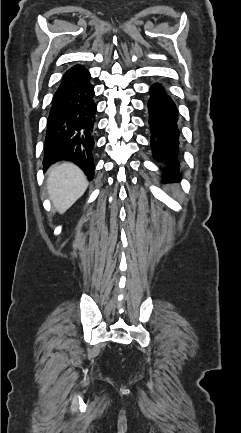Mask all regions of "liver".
I'll list each match as a JSON object with an SVG mask.
<instances>
[{
    "instance_id": "6515ba94",
    "label": "liver",
    "mask_w": 241,
    "mask_h": 433,
    "mask_svg": "<svg viewBox=\"0 0 241 433\" xmlns=\"http://www.w3.org/2000/svg\"><path fill=\"white\" fill-rule=\"evenodd\" d=\"M47 175L48 194L60 214L65 213L88 187L83 171L73 163L56 164L50 168Z\"/></svg>"
}]
</instances>
